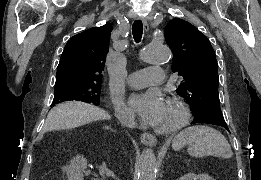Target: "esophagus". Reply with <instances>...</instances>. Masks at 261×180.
<instances>
[{"label": "esophagus", "mask_w": 261, "mask_h": 180, "mask_svg": "<svg viewBox=\"0 0 261 180\" xmlns=\"http://www.w3.org/2000/svg\"><path fill=\"white\" fill-rule=\"evenodd\" d=\"M141 19H142L145 31L148 32L149 26H148L147 19L145 17H141ZM140 140L144 145H149L151 147L155 146L157 143L156 137L154 135H152V133H148V132L142 133Z\"/></svg>", "instance_id": "esophagus-1"}]
</instances>
